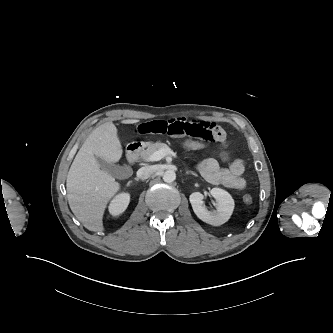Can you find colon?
Here are the masks:
<instances>
[{
    "instance_id": "1",
    "label": "colon",
    "mask_w": 333,
    "mask_h": 333,
    "mask_svg": "<svg viewBox=\"0 0 333 333\" xmlns=\"http://www.w3.org/2000/svg\"><path fill=\"white\" fill-rule=\"evenodd\" d=\"M181 148L189 152H198L210 149V144L206 140L186 137L179 141ZM243 201L246 204H251L253 199L249 194L243 196Z\"/></svg>"
}]
</instances>
